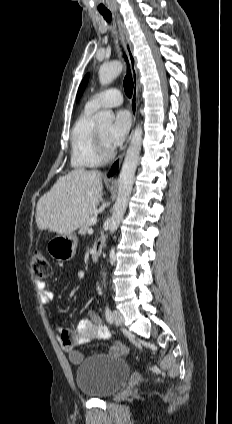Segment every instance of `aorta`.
<instances>
[{"label":"aorta","mask_w":232,"mask_h":424,"mask_svg":"<svg viewBox=\"0 0 232 424\" xmlns=\"http://www.w3.org/2000/svg\"><path fill=\"white\" fill-rule=\"evenodd\" d=\"M122 69L123 65L120 61H113L101 65L99 69L100 83L102 85L111 83L122 72ZM114 119L115 116L112 111H99L95 115V121L99 125L112 124ZM142 137V127L138 124L133 132L119 175L118 195L113 206V212L110 219L111 233H114L117 230L127 208L141 151Z\"/></svg>","instance_id":"obj_1"}]
</instances>
